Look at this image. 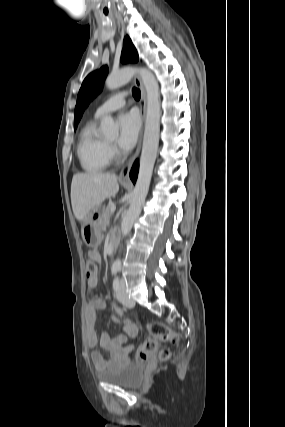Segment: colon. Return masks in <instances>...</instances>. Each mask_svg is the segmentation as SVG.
Masks as SVG:
<instances>
[{
  "label": "colon",
  "mask_w": 285,
  "mask_h": 427,
  "mask_svg": "<svg viewBox=\"0 0 285 427\" xmlns=\"http://www.w3.org/2000/svg\"><path fill=\"white\" fill-rule=\"evenodd\" d=\"M97 273L96 263L91 259L85 260V276L87 280L95 278ZM149 337L140 343L136 359L146 360L154 353L157 352L158 342H171L176 343L178 341V335L168 328L166 325L160 322H151L147 326ZM159 359L162 361L168 360L171 357L169 349H161L158 352Z\"/></svg>",
  "instance_id": "obj_1"
}]
</instances>
